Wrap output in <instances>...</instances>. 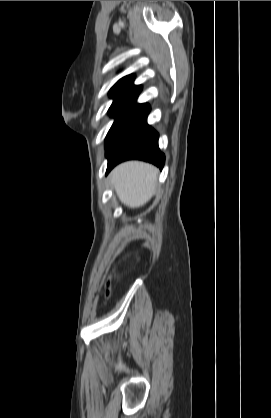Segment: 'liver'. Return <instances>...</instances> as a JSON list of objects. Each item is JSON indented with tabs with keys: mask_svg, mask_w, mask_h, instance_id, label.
I'll return each instance as SVG.
<instances>
[{
	"mask_svg": "<svg viewBox=\"0 0 271 418\" xmlns=\"http://www.w3.org/2000/svg\"><path fill=\"white\" fill-rule=\"evenodd\" d=\"M158 169L139 161L124 162L110 173V180L120 201L130 208L147 203L155 192Z\"/></svg>",
	"mask_w": 271,
	"mask_h": 418,
	"instance_id": "6515ba94",
	"label": "liver"
}]
</instances>
